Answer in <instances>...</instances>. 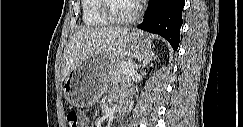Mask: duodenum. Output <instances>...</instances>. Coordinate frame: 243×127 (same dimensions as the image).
<instances>
[{
	"instance_id": "duodenum-1",
	"label": "duodenum",
	"mask_w": 243,
	"mask_h": 127,
	"mask_svg": "<svg viewBox=\"0 0 243 127\" xmlns=\"http://www.w3.org/2000/svg\"><path fill=\"white\" fill-rule=\"evenodd\" d=\"M130 97L128 94H125L121 97L119 104L117 106V110L119 113H124L129 105Z\"/></svg>"
}]
</instances>
